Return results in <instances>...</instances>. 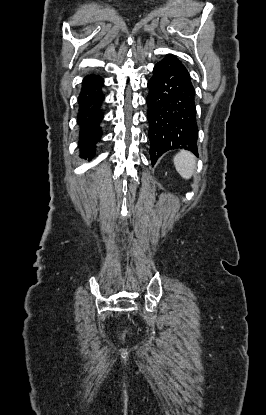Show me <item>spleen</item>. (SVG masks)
Segmentation results:
<instances>
[{
    "label": "spleen",
    "instance_id": "spleen-1",
    "mask_svg": "<svg viewBox=\"0 0 266 415\" xmlns=\"http://www.w3.org/2000/svg\"><path fill=\"white\" fill-rule=\"evenodd\" d=\"M173 163L182 178L189 180L193 176L196 169V158L192 153L180 151L175 155Z\"/></svg>",
    "mask_w": 266,
    "mask_h": 415
}]
</instances>
